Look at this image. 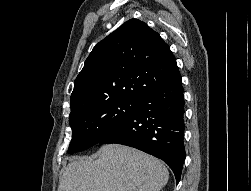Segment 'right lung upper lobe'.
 <instances>
[{"label": "right lung upper lobe", "instance_id": "right-lung-upper-lobe-1", "mask_svg": "<svg viewBox=\"0 0 251 191\" xmlns=\"http://www.w3.org/2000/svg\"><path fill=\"white\" fill-rule=\"evenodd\" d=\"M179 75L176 59L160 35L131 19L93 48L74 82L71 109L138 101Z\"/></svg>", "mask_w": 251, "mask_h": 191}]
</instances>
